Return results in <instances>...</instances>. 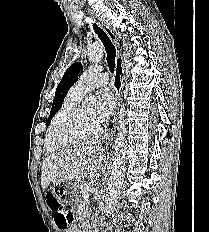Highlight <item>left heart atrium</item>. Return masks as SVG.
<instances>
[{
    "mask_svg": "<svg viewBox=\"0 0 209 232\" xmlns=\"http://www.w3.org/2000/svg\"><path fill=\"white\" fill-rule=\"evenodd\" d=\"M97 114L98 123L106 121L113 112L116 105V95L112 87L106 86L97 96Z\"/></svg>",
    "mask_w": 209,
    "mask_h": 232,
    "instance_id": "1",
    "label": "left heart atrium"
}]
</instances>
